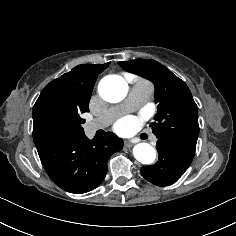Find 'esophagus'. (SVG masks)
Returning <instances> with one entry per match:
<instances>
[{"label": "esophagus", "mask_w": 236, "mask_h": 236, "mask_svg": "<svg viewBox=\"0 0 236 236\" xmlns=\"http://www.w3.org/2000/svg\"><path fill=\"white\" fill-rule=\"evenodd\" d=\"M126 147H132V144L127 143V144H126Z\"/></svg>", "instance_id": "34e87169"}]
</instances>
